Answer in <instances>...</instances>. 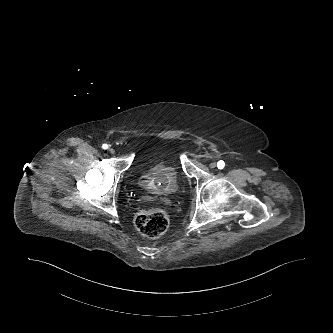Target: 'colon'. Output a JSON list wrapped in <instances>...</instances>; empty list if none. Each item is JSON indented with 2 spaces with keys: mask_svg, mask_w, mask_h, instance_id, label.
<instances>
[{
  "mask_svg": "<svg viewBox=\"0 0 333 333\" xmlns=\"http://www.w3.org/2000/svg\"><path fill=\"white\" fill-rule=\"evenodd\" d=\"M134 224L141 234L154 238L167 230L169 218L162 209L144 210L136 215Z\"/></svg>",
  "mask_w": 333,
  "mask_h": 333,
  "instance_id": "1",
  "label": "colon"
}]
</instances>
